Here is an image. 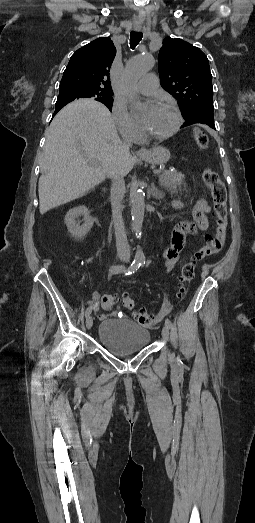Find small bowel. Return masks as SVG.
I'll list each match as a JSON object with an SVG mask.
<instances>
[{
    "mask_svg": "<svg viewBox=\"0 0 255 523\" xmlns=\"http://www.w3.org/2000/svg\"><path fill=\"white\" fill-rule=\"evenodd\" d=\"M186 203L176 201L173 206L177 209L186 207ZM193 220L179 222L171 237L170 245L163 251L162 255L166 265V272H170L180 259V254L186 244V239L189 234H195L198 230L204 231L208 228L209 222L207 213L210 212V207L204 199H199L191 208ZM110 272L117 274L124 270L123 266H110ZM100 298L99 294H94V302L97 303Z\"/></svg>",
    "mask_w": 255,
    "mask_h": 523,
    "instance_id": "1",
    "label": "small bowel"
}]
</instances>
